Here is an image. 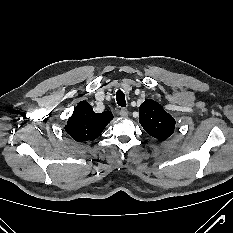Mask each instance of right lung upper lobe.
Listing matches in <instances>:
<instances>
[{"instance_id": "1", "label": "right lung upper lobe", "mask_w": 233, "mask_h": 233, "mask_svg": "<svg viewBox=\"0 0 233 233\" xmlns=\"http://www.w3.org/2000/svg\"><path fill=\"white\" fill-rule=\"evenodd\" d=\"M112 119L110 111L95 113L88 102L81 101L68 119L65 130L77 142L93 141Z\"/></svg>"}]
</instances>
